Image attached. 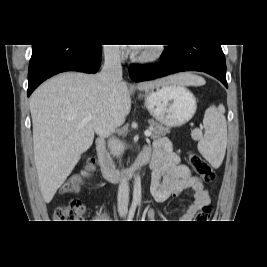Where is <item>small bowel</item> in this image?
Here are the masks:
<instances>
[{"mask_svg":"<svg viewBox=\"0 0 267 267\" xmlns=\"http://www.w3.org/2000/svg\"><path fill=\"white\" fill-rule=\"evenodd\" d=\"M141 156L152 159L151 192L157 202L177 197L187 189L193 191V201L181 216L183 222H189L199 209L210 203L204 183L199 177L193 176L187 166L181 164L180 157L173 151L167 138L156 139L152 151L146 149ZM80 185V180H77L71 191H78ZM152 216L153 212L149 211L148 217Z\"/></svg>","mask_w":267,"mask_h":267,"instance_id":"c3829d8e","label":"small bowel"}]
</instances>
